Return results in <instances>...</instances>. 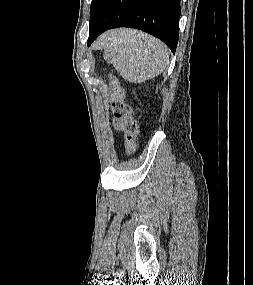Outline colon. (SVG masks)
Instances as JSON below:
<instances>
[{"label":"colon","instance_id":"5ec220e1","mask_svg":"<svg viewBox=\"0 0 253 285\" xmlns=\"http://www.w3.org/2000/svg\"><path fill=\"white\" fill-rule=\"evenodd\" d=\"M109 84L112 87V110L114 116L123 123L125 129V147L128 155H131L136 147L138 135V125L131 115V108L125 102V93L118 79L114 75H109Z\"/></svg>","mask_w":253,"mask_h":285}]
</instances>
